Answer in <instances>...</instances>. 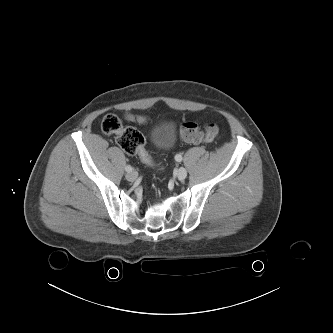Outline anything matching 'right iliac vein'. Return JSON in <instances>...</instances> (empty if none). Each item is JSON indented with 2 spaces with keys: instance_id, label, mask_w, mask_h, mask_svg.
Listing matches in <instances>:
<instances>
[{
  "instance_id": "obj_1",
  "label": "right iliac vein",
  "mask_w": 333,
  "mask_h": 333,
  "mask_svg": "<svg viewBox=\"0 0 333 333\" xmlns=\"http://www.w3.org/2000/svg\"><path fill=\"white\" fill-rule=\"evenodd\" d=\"M138 174L135 171L128 172L126 174V179L130 182H133L137 179Z\"/></svg>"
}]
</instances>
